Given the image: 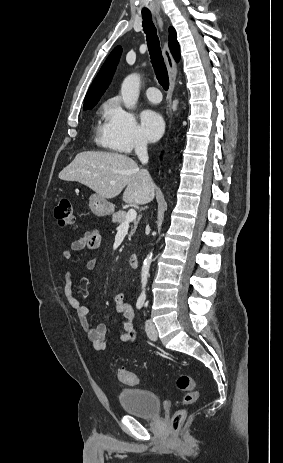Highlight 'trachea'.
Returning a JSON list of instances; mask_svg holds the SVG:
<instances>
[{"mask_svg":"<svg viewBox=\"0 0 283 463\" xmlns=\"http://www.w3.org/2000/svg\"><path fill=\"white\" fill-rule=\"evenodd\" d=\"M143 30L146 34L147 45L150 53L152 65L155 70L156 78L164 90L169 88V77L167 68L165 66L163 56L161 53L160 42L157 36V30L152 22L151 15H142Z\"/></svg>","mask_w":283,"mask_h":463,"instance_id":"trachea-1","label":"trachea"}]
</instances>
